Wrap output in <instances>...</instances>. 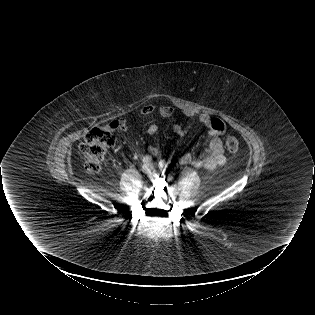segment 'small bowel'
Returning a JSON list of instances; mask_svg holds the SVG:
<instances>
[{
  "instance_id": "1",
  "label": "small bowel",
  "mask_w": 315,
  "mask_h": 315,
  "mask_svg": "<svg viewBox=\"0 0 315 315\" xmlns=\"http://www.w3.org/2000/svg\"><path fill=\"white\" fill-rule=\"evenodd\" d=\"M174 112L175 109L169 105H147L142 107L140 110V114L142 116H148L156 113L162 117H169ZM185 116L187 118H191L192 113L186 111ZM199 121L207 129L210 137L206 154L203 157H194L191 153L187 152L181 156L180 161L183 164H190L196 168L213 170L226 163L224 147L220 138L225 131V125L220 119L213 118L206 113L200 115ZM113 124H116L118 129L122 131H125L128 127V122L125 119L109 122L107 126ZM157 131L158 126L155 123L150 124L147 128V133L149 135H154ZM173 131L176 134L183 136L187 133V126L185 123H177L173 126ZM149 151L153 155H158L159 153V149L153 145L149 146Z\"/></svg>"
}]
</instances>
